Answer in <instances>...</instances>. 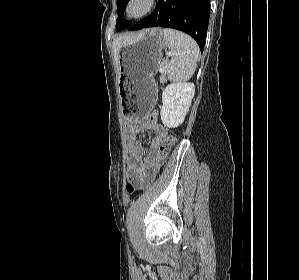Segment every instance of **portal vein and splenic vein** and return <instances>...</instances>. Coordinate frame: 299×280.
Listing matches in <instances>:
<instances>
[{
    "label": "portal vein and splenic vein",
    "mask_w": 299,
    "mask_h": 280,
    "mask_svg": "<svg viewBox=\"0 0 299 280\" xmlns=\"http://www.w3.org/2000/svg\"><path fill=\"white\" fill-rule=\"evenodd\" d=\"M168 55L171 56V53H168ZM164 71H165L164 66H161V67L159 68V72L163 73Z\"/></svg>",
    "instance_id": "obj_1"
}]
</instances>
